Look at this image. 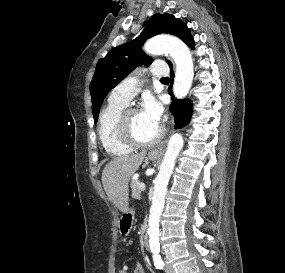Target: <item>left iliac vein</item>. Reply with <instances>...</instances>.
<instances>
[{
	"mask_svg": "<svg viewBox=\"0 0 285 273\" xmlns=\"http://www.w3.org/2000/svg\"><path fill=\"white\" fill-rule=\"evenodd\" d=\"M165 273H175V270H174V268L171 265L166 264V266H165Z\"/></svg>",
	"mask_w": 285,
	"mask_h": 273,
	"instance_id": "1",
	"label": "left iliac vein"
}]
</instances>
